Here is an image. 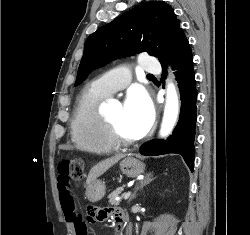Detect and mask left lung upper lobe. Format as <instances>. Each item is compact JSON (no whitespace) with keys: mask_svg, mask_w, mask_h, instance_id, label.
I'll list each match as a JSON object with an SVG mask.
<instances>
[{"mask_svg":"<svg viewBox=\"0 0 250 235\" xmlns=\"http://www.w3.org/2000/svg\"><path fill=\"white\" fill-rule=\"evenodd\" d=\"M172 7L163 1L141 4L98 28L85 42L76 85L99 66L146 51L164 60L181 30ZM159 45L163 53H155Z\"/></svg>","mask_w":250,"mask_h":235,"instance_id":"obj_1","label":"left lung upper lobe"}]
</instances>
